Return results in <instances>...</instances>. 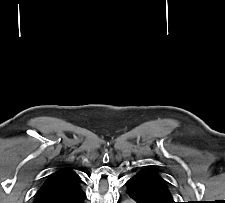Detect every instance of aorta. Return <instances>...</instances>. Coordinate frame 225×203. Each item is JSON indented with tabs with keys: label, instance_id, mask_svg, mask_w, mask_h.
<instances>
[{
	"label": "aorta",
	"instance_id": "obj_1",
	"mask_svg": "<svg viewBox=\"0 0 225 203\" xmlns=\"http://www.w3.org/2000/svg\"><path fill=\"white\" fill-rule=\"evenodd\" d=\"M123 203H133V202L130 201V200H126V201H124Z\"/></svg>",
	"mask_w": 225,
	"mask_h": 203
}]
</instances>
